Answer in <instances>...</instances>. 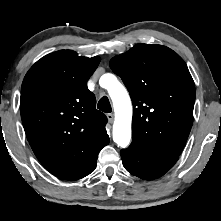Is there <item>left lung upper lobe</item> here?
Here are the masks:
<instances>
[{"label": "left lung upper lobe", "instance_id": "obj_1", "mask_svg": "<svg viewBox=\"0 0 221 221\" xmlns=\"http://www.w3.org/2000/svg\"><path fill=\"white\" fill-rule=\"evenodd\" d=\"M133 102L132 142L179 156L193 123L195 85L183 59L162 45L137 44L110 61Z\"/></svg>", "mask_w": 221, "mask_h": 221}]
</instances>
